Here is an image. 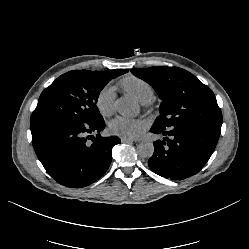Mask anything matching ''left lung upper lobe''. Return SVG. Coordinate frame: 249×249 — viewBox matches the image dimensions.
I'll return each instance as SVG.
<instances>
[{"instance_id":"5c2ea615","label":"left lung upper lobe","mask_w":249,"mask_h":249,"mask_svg":"<svg viewBox=\"0 0 249 249\" xmlns=\"http://www.w3.org/2000/svg\"><path fill=\"white\" fill-rule=\"evenodd\" d=\"M149 83L162 100L153 125L172 127L189 122L222 124V113L214 93L190 72L178 67L131 69Z\"/></svg>"}]
</instances>
